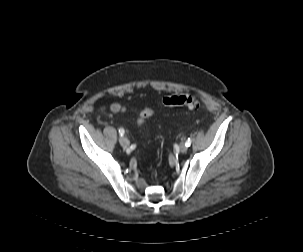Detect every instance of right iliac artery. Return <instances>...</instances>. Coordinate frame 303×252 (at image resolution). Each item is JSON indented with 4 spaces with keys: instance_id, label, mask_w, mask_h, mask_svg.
Here are the masks:
<instances>
[{
    "instance_id": "right-iliac-artery-1",
    "label": "right iliac artery",
    "mask_w": 303,
    "mask_h": 252,
    "mask_svg": "<svg viewBox=\"0 0 303 252\" xmlns=\"http://www.w3.org/2000/svg\"><path fill=\"white\" fill-rule=\"evenodd\" d=\"M119 134H120L121 137L124 135V129L123 128L119 129Z\"/></svg>"
}]
</instances>
